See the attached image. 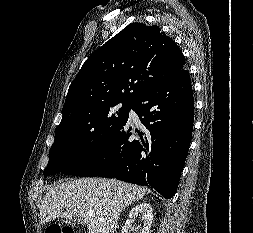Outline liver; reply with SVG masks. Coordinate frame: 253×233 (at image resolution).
<instances>
[{
	"label": "liver",
	"mask_w": 253,
	"mask_h": 233,
	"mask_svg": "<svg viewBox=\"0 0 253 233\" xmlns=\"http://www.w3.org/2000/svg\"><path fill=\"white\" fill-rule=\"evenodd\" d=\"M145 193L144 188L116 179H66L45 194L40 208L41 223L59 217L83 220L88 233H114L122 210Z\"/></svg>",
	"instance_id": "obj_1"
}]
</instances>
